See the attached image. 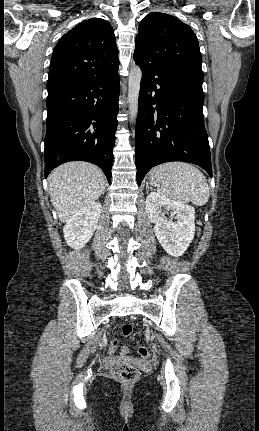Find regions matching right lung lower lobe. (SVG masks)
Here are the masks:
<instances>
[{
	"instance_id": "obj_1",
	"label": "right lung lower lobe",
	"mask_w": 259,
	"mask_h": 431,
	"mask_svg": "<svg viewBox=\"0 0 259 431\" xmlns=\"http://www.w3.org/2000/svg\"><path fill=\"white\" fill-rule=\"evenodd\" d=\"M119 93L118 71L48 89L45 177L62 163L87 161L111 183Z\"/></svg>"
}]
</instances>
